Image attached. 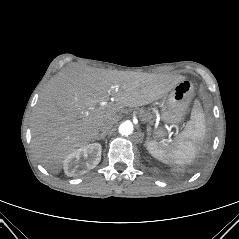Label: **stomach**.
<instances>
[{
	"instance_id": "0dacf381",
	"label": "stomach",
	"mask_w": 239,
	"mask_h": 239,
	"mask_svg": "<svg viewBox=\"0 0 239 239\" xmlns=\"http://www.w3.org/2000/svg\"><path fill=\"white\" fill-rule=\"evenodd\" d=\"M193 91V84L188 80L179 82L159 103L161 119L167 124H179L183 121ZM146 117L143 116V119ZM163 128L155 131L156 137H164Z\"/></svg>"
}]
</instances>
